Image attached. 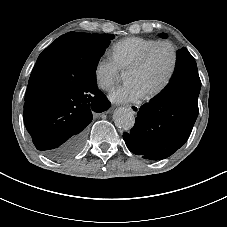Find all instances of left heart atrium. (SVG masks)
Returning a JSON list of instances; mask_svg holds the SVG:
<instances>
[{"instance_id":"left-heart-atrium-1","label":"left heart atrium","mask_w":227,"mask_h":227,"mask_svg":"<svg viewBox=\"0 0 227 227\" xmlns=\"http://www.w3.org/2000/svg\"><path fill=\"white\" fill-rule=\"evenodd\" d=\"M145 93L133 83H128L120 89L110 93L109 98L115 103H136L142 100Z\"/></svg>"}]
</instances>
